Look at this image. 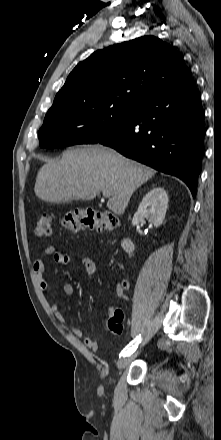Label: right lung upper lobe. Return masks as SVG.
Wrapping results in <instances>:
<instances>
[{"instance_id": "right-lung-upper-lobe-1", "label": "right lung upper lobe", "mask_w": 221, "mask_h": 440, "mask_svg": "<svg viewBox=\"0 0 221 440\" xmlns=\"http://www.w3.org/2000/svg\"><path fill=\"white\" fill-rule=\"evenodd\" d=\"M179 53L154 36L94 52L69 74L49 110L74 104L117 103L135 107L191 82Z\"/></svg>"}]
</instances>
